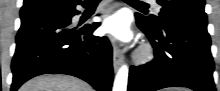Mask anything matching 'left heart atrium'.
<instances>
[{"instance_id": "1", "label": "left heart atrium", "mask_w": 220, "mask_h": 91, "mask_svg": "<svg viewBox=\"0 0 220 91\" xmlns=\"http://www.w3.org/2000/svg\"><path fill=\"white\" fill-rule=\"evenodd\" d=\"M103 30L120 42H129L133 38L129 18L124 12L108 16L103 22Z\"/></svg>"}]
</instances>
